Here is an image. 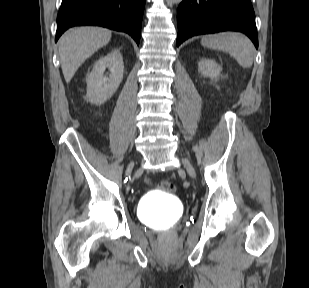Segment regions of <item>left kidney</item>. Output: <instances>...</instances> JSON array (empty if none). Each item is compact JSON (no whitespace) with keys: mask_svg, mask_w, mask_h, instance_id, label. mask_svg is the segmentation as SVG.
<instances>
[{"mask_svg":"<svg viewBox=\"0 0 309 288\" xmlns=\"http://www.w3.org/2000/svg\"><path fill=\"white\" fill-rule=\"evenodd\" d=\"M198 67L201 74L206 77L217 78L221 72V66L212 59H201Z\"/></svg>","mask_w":309,"mask_h":288,"instance_id":"left-kidney-1","label":"left kidney"}]
</instances>
